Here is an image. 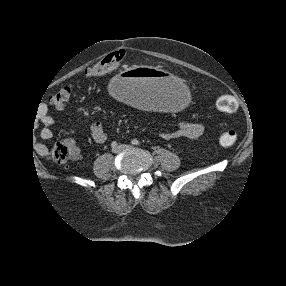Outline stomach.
Returning a JSON list of instances; mask_svg holds the SVG:
<instances>
[{
    "label": "stomach",
    "mask_w": 286,
    "mask_h": 286,
    "mask_svg": "<svg viewBox=\"0 0 286 286\" xmlns=\"http://www.w3.org/2000/svg\"><path fill=\"white\" fill-rule=\"evenodd\" d=\"M108 92L115 101H127L148 114L158 116L181 113L192 97L191 84L184 74L153 64L121 72L110 82Z\"/></svg>",
    "instance_id": "0dacf381"
}]
</instances>
